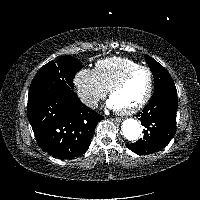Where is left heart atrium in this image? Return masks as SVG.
<instances>
[{"label":"left heart atrium","mask_w":200,"mask_h":200,"mask_svg":"<svg viewBox=\"0 0 200 200\" xmlns=\"http://www.w3.org/2000/svg\"><path fill=\"white\" fill-rule=\"evenodd\" d=\"M107 107L113 110L119 109L116 103L111 98L107 101Z\"/></svg>","instance_id":"left-heart-atrium-1"}]
</instances>
